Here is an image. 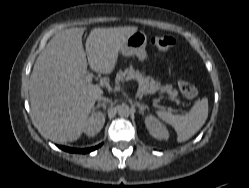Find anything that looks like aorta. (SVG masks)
<instances>
[{"mask_svg":"<svg viewBox=\"0 0 249 188\" xmlns=\"http://www.w3.org/2000/svg\"><path fill=\"white\" fill-rule=\"evenodd\" d=\"M118 115L121 117H128L130 115V108L126 104H122L118 107Z\"/></svg>","mask_w":249,"mask_h":188,"instance_id":"aorta-1","label":"aorta"}]
</instances>
